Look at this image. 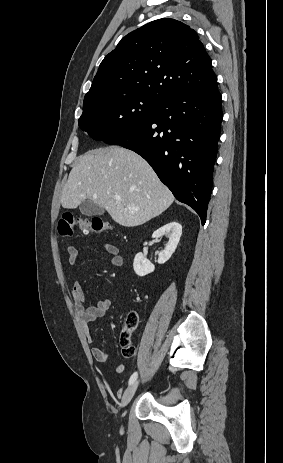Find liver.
Instances as JSON below:
<instances>
[{"label":"liver","instance_id":"1","mask_svg":"<svg viewBox=\"0 0 283 463\" xmlns=\"http://www.w3.org/2000/svg\"><path fill=\"white\" fill-rule=\"evenodd\" d=\"M87 199L118 224L135 227L159 216L174 196L141 156L112 146L86 152L70 171L62 207L74 209Z\"/></svg>","mask_w":283,"mask_h":463}]
</instances>
